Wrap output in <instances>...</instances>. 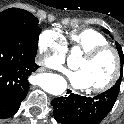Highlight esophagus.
I'll return each mask as SVG.
<instances>
[{
  "label": "esophagus",
  "instance_id": "esophagus-1",
  "mask_svg": "<svg viewBox=\"0 0 124 124\" xmlns=\"http://www.w3.org/2000/svg\"><path fill=\"white\" fill-rule=\"evenodd\" d=\"M73 92H74V90L73 89H70V91H69V93L67 95H70Z\"/></svg>",
  "mask_w": 124,
  "mask_h": 124
}]
</instances>
